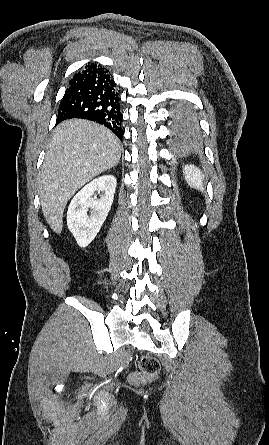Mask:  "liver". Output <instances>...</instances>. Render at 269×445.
Here are the masks:
<instances>
[{"label":"liver","mask_w":269,"mask_h":445,"mask_svg":"<svg viewBox=\"0 0 269 445\" xmlns=\"http://www.w3.org/2000/svg\"><path fill=\"white\" fill-rule=\"evenodd\" d=\"M120 157L118 138L104 126L72 119L55 128L38 178L42 212L55 233L62 231L63 212L75 192Z\"/></svg>","instance_id":"1"}]
</instances>
